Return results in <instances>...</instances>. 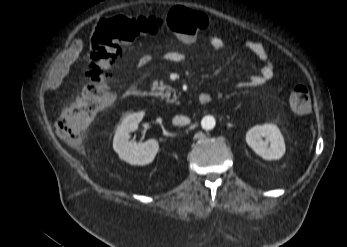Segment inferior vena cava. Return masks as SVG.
Here are the masks:
<instances>
[{"label":"inferior vena cava","instance_id":"obj_1","mask_svg":"<svg viewBox=\"0 0 347 247\" xmlns=\"http://www.w3.org/2000/svg\"><path fill=\"white\" fill-rule=\"evenodd\" d=\"M172 123L176 126H185L187 124L190 123V119L186 116H182V115H176L173 119H172Z\"/></svg>","mask_w":347,"mask_h":247}]
</instances>
